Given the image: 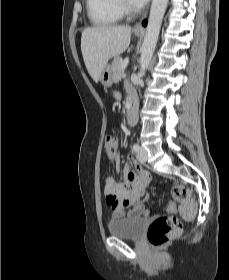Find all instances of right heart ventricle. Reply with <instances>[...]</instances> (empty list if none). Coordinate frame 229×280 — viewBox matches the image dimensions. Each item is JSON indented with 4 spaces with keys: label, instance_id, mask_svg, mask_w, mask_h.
<instances>
[{
    "label": "right heart ventricle",
    "instance_id": "obj_1",
    "mask_svg": "<svg viewBox=\"0 0 229 280\" xmlns=\"http://www.w3.org/2000/svg\"><path fill=\"white\" fill-rule=\"evenodd\" d=\"M86 9L90 23L96 27H111L121 19L117 0H87Z\"/></svg>",
    "mask_w": 229,
    "mask_h": 280
}]
</instances>
